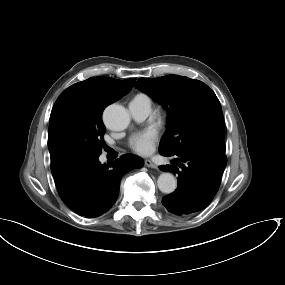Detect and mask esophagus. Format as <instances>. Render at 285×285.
<instances>
[{
    "label": "esophagus",
    "instance_id": "obj_1",
    "mask_svg": "<svg viewBox=\"0 0 285 285\" xmlns=\"http://www.w3.org/2000/svg\"><path fill=\"white\" fill-rule=\"evenodd\" d=\"M145 166L150 167V168H157V164L153 163L151 160L146 159L144 161Z\"/></svg>",
    "mask_w": 285,
    "mask_h": 285
}]
</instances>
